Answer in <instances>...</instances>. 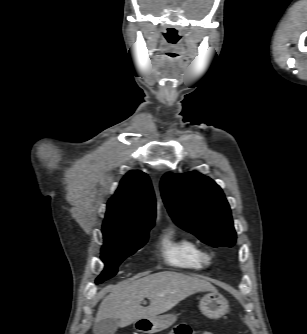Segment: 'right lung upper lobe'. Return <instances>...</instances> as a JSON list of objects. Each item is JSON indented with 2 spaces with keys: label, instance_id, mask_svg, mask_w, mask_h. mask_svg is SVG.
<instances>
[{
  "label": "right lung upper lobe",
  "instance_id": "cb5924a9",
  "mask_svg": "<svg viewBox=\"0 0 307 334\" xmlns=\"http://www.w3.org/2000/svg\"><path fill=\"white\" fill-rule=\"evenodd\" d=\"M155 197L149 177L141 171H130L107 204L103 234H116L153 227Z\"/></svg>",
  "mask_w": 307,
  "mask_h": 334
}]
</instances>
